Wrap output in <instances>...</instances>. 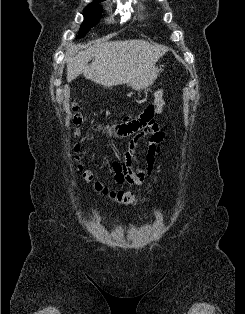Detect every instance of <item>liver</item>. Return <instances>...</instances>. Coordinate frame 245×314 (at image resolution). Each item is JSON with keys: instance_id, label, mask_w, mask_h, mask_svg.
<instances>
[{"instance_id": "obj_1", "label": "liver", "mask_w": 245, "mask_h": 314, "mask_svg": "<svg viewBox=\"0 0 245 314\" xmlns=\"http://www.w3.org/2000/svg\"><path fill=\"white\" fill-rule=\"evenodd\" d=\"M167 51L165 46L140 39L99 42L83 51H78L74 45L65 53L67 81L83 74L86 79L105 87L128 84L154 69Z\"/></svg>"}]
</instances>
